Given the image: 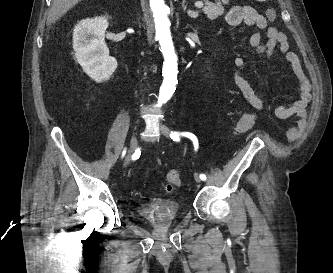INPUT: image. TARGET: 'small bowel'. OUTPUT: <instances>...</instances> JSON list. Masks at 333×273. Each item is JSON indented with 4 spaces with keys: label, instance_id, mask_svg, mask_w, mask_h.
Wrapping results in <instances>:
<instances>
[{
    "label": "small bowel",
    "instance_id": "c3829d8e",
    "mask_svg": "<svg viewBox=\"0 0 333 273\" xmlns=\"http://www.w3.org/2000/svg\"><path fill=\"white\" fill-rule=\"evenodd\" d=\"M224 20L229 27H238L242 24L254 26L259 30H266V40L264 41L260 33L252 34L248 39V44L255 48L261 55L270 56L275 48H278L287 59L290 68L294 72L300 92V99L289 105L280 106L276 109V114L280 118L297 116L298 126L292 129L290 136L293 137L301 128L305 112L307 99L304 95L306 90V77L301 69L297 55L290 49L285 34L275 27L269 26L268 18L257 12L248 5H233L225 13ZM232 79L245 100L256 110L263 111L266 108L265 102L256 94L247 80L241 75V71L246 68V61L241 57L233 60Z\"/></svg>",
    "mask_w": 333,
    "mask_h": 273
}]
</instances>
